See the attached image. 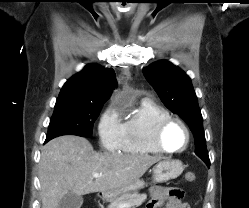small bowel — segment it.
Listing matches in <instances>:
<instances>
[{
  "instance_id": "obj_1",
  "label": "small bowel",
  "mask_w": 249,
  "mask_h": 208,
  "mask_svg": "<svg viewBox=\"0 0 249 208\" xmlns=\"http://www.w3.org/2000/svg\"><path fill=\"white\" fill-rule=\"evenodd\" d=\"M151 200L146 208H160L163 204L166 208H190L182 201V190L174 187L155 186L151 188Z\"/></svg>"
}]
</instances>
